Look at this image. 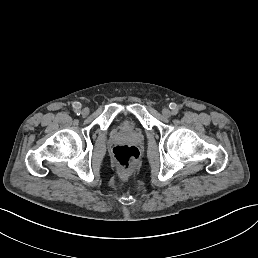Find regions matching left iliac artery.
<instances>
[{"label": "left iliac artery", "mask_w": 258, "mask_h": 258, "mask_svg": "<svg viewBox=\"0 0 258 258\" xmlns=\"http://www.w3.org/2000/svg\"><path fill=\"white\" fill-rule=\"evenodd\" d=\"M177 114H178V110H173V111H172V115L175 116V115H177Z\"/></svg>", "instance_id": "obj_1"}]
</instances>
